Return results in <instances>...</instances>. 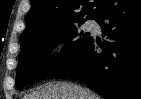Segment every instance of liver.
Instances as JSON below:
<instances>
[{
  "mask_svg": "<svg viewBox=\"0 0 141 99\" xmlns=\"http://www.w3.org/2000/svg\"><path fill=\"white\" fill-rule=\"evenodd\" d=\"M24 99H101L87 88L68 82L49 83L41 86Z\"/></svg>",
  "mask_w": 141,
  "mask_h": 99,
  "instance_id": "obj_1",
  "label": "liver"
}]
</instances>
